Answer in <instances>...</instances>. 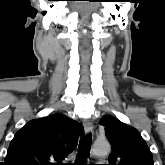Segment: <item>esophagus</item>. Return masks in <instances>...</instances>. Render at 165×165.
I'll return each instance as SVG.
<instances>
[{
  "label": "esophagus",
  "instance_id": "obj_1",
  "mask_svg": "<svg viewBox=\"0 0 165 165\" xmlns=\"http://www.w3.org/2000/svg\"><path fill=\"white\" fill-rule=\"evenodd\" d=\"M84 130L87 134L93 132V124L91 121H89V120L84 121Z\"/></svg>",
  "mask_w": 165,
  "mask_h": 165
}]
</instances>
